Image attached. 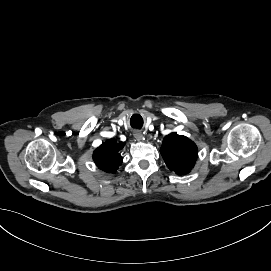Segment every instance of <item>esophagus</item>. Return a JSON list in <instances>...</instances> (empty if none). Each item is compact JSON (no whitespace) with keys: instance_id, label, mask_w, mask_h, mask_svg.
Listing matches in <instances>:
<instances>
[{"instance_id":"esophagus-1","label":"esophagus","mask_w":271,"mask_h":271,"mask_svg":"<svg viewBox=\"0 0 271 271\" xmlns=\"http://www.w3.org/2000/svg\"><path fill=\"white\" fill-rule=\"evenodd\" d=\"M133 135H134V137L136 138V140L142 141L143 135H142V133H141L140 131H135V132L133 133Z\"/></svg>"}]
</instances>
